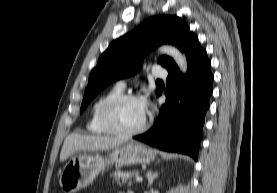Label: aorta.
Returning <instances> with one entry per match:
<instances>
[{"label": "aorta", "instance_id": "762f6f07", "mask_svg": "<svg viewBox=\"0 0 277 193\" xmlns=\"http://www.w3.org/2000/svg\"><path fill=\"white\" fill-rule=\"evenodd\" d=\"M161 53L171 56L177 66L183 73L187 70V60L184 54H182L177 48L169 45H163L158 49Z\"/></svg>", "mask_w": 277, "mask_h": 193}]
</instances>
